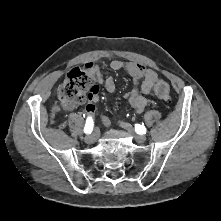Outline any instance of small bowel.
Listing matches in <instances>:
<instances>
[{
	"mask_svg": "<svg viewBox=\"0 0 221 221\" xmlns=\"http://www.w3.org/2000/svg\"><path fill=\"white\" fill-rule=\"evenodd\" d=\"M109 67L113 71L124 70L133 77L135 82L141 81L138 88H134L129 91L125 97L130 102L133 109L140 113L149 104L147 94H149L158 82L157 73L146 68L144 65L134 61H121L114 60L109 64ZM86 70L92 79L98 83L103 84L106 91L113 93L115 91V81L112 76L104 77L101 73L100 67L94 63H87ZM100 95V88L97 85H90L88 87V102L85 106L87 115H93L95 112V103L98 102ZM78 103L70 101H61L56 107L57 110H73L77 107ZM108 125V121H105Z\"/></svg>",
	"mask_w": 221,
	"mask_h": 221,
	"instance_id": "obj_1",
	"label": "small bowel"
}]
</instances>
